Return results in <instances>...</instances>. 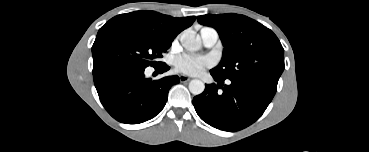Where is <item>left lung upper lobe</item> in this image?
Wrapping results in <instances>:
<instances>
[{
  "instance_id": "5c2ea615",
  "label": "left lung upper lobe",
  "mask_w": 369,
  "mask_h": 152,
  "mask_svg": "<svg viewBox=\"0 0 369 152\" xmlns=\"http://www.w3.org/2000/svg\"><path fill=\"white\" fill-rule=\"evenodd\" d=\"M215 28L224 46L220 64L211 73L221 79L264 81L277 85L284 70V49L276 35L259 22L239 14L198 16Z\"/></svg>"
}]
</instances>
